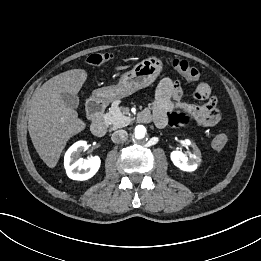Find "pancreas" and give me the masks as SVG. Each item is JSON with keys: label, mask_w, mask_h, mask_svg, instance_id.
I'll list each match as a JSON object with an SVG mask.
<instances>
[{"label": "pancreas", "mask_w": 261, "mask_h": 261, "mask_svg": "<svg viewBox=\"0 0 261 261\" xmlns=\"http://www.w3.org/2000/svg\"><path fill=\"white\" fill-rule=\"evenodd\" d=\"M124 108L119 107V101L113 102L109 112L105 114V123L110 126L111 130H116L127 126L131 118L125 116Z\"/></svg>", "instance_id": "cf45deb5"}]
</instances>
